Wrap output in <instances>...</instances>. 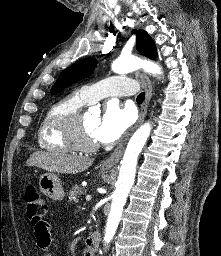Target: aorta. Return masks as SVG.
Listing matches in <instances>:
<instances>
[{"label": "aorta", "mask_w": 221, "mask_h": 256, "mask_svg": "<svg viewBox=\"0 0 221 256\" xmlns=\"http://www.w3.org/2000/svg\"><path fill=\"white\" fill-rule=\"evenodd\" d=\"M140 67L146 72L154 75L162 74L161 68L155 63L141 62L135 57H119L111 66L112 70L118 74L128 73ZM151 129L152 126L150 122L144 123L135 131L128 142L123 160L121 161L116 189L112 195V204L104 237L105 243L107 244L112 240L120 222L123 207L126 203L130 189L134 184L138 156L150 135Z\"/></svg>", "instance_id": "aorta-1"}]
</instances>
